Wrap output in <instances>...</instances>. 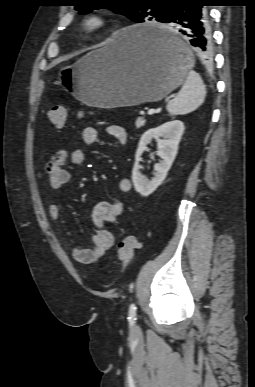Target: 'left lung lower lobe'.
Instances as JSON below:
<instances>
[{
    "label": "left lung lower lobe",
    "instance_id": "0a47b994",
    "mask_svg": "<svg viewBox=\"0 0 255 387\" xmlns=\"http://www.w3.org/2000/svg\"><path fill=\"white\" fill-rule=\"evenodd\" d=\"M210 0H181L171 2L167 6L161 23H176L181 25L179 32L187 36L195 51L203 59L209 60L212 56V37L209 27V16L205 6H210ZM144 39L166 53H179L178 45L164 30L145 32Z\"/></svg>",
    "mask_w": 255,
    "mask_h": 387
}]
</instances>
